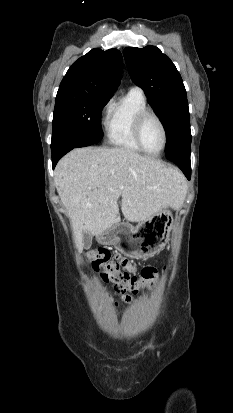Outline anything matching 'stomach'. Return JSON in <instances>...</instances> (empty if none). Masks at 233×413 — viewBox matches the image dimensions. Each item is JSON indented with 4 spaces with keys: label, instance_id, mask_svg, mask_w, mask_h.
I'll use <instances>...</instances> for the list:
<instances>
[{
    "label": "stomach",
    "instance_id": "1",
    "mask_svg": "<svg viewBox=\"0 0 233 413\" xmlns=\"http://www.w3.org/2000/svg\"><path fill=\"white\" fill-rule=\"evenodd\" d=\"M173 222L171 211L164 208L135 227L128 223L115 224L96 237L99 243L114 245L130 258L149 257L164 248Z\"/></svg>",
    "mask_w": 233,
    "mask_h": 413
}]
</instances>
